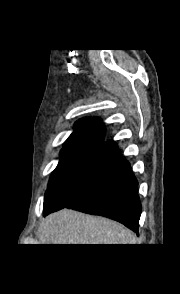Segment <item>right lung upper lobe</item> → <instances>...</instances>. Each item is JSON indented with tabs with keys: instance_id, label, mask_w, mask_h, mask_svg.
<instances>
[{
	"instance_id": "obj_1",
	"label": "right lung upper lobe",
	"mask_w": 180,
	"mask_h": 294,
	"mask_svg": "<svg viewBox=\"0 0 180 294\" xmlns=\"http://www.w3.org/2000/svg\"><path fill=\"white\" fill-rule=\"evenodd\" d=\"M74 127L75 131L66 140L64 145L75 143L101 145L105 135V127L99 118H82L75 123Z\"/></svg>"
}]
</instances>
